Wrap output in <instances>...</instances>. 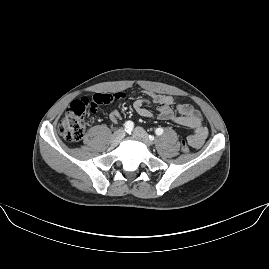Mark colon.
<instances>
[{
	"label": "colon",
	"mask_w": 269,
	"mask_h": 269,
	"mask_svg": "<svg viewBox=\"0 0 269 269\" xmlns=\"http://www.w3.org/2000/svg\"><path fill=\"white\" fill-rule=\"evenodd\" d=\"M113 97L125 98V93H110L105 95L94 92L91 97L83 96L76 99L67 109L66 113L58 123V131L60 135L71 142L80 141L87 127V116L97 111V107L110 104ZM182 151H188V143L185 139L181 140Z\"/></svg>",
	"instance_id": "1"
}]
</instances>
